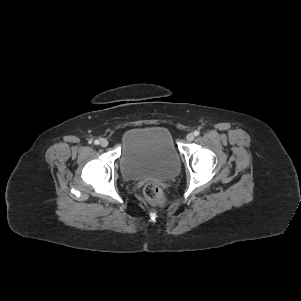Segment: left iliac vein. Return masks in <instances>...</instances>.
I'll list each match as a JSON object with an SVG mask.
<instances>
[{
    "instance_id": "4c4485c4",
    "label": "left iliac vein",
    "mask_w": 301,
    "mask_h": 301,
    "mask_svg": "<svg viewBox=\"0 0 301 301\" xmlns=\"http://www.w3.org/2000/svg\"><path fill=\"white\" fill-rule=\"evenodd\" d=\"M187 141L191 142L194 140V134L193 133H188L186 136Z\"/></svg>"
}]
</instances>
